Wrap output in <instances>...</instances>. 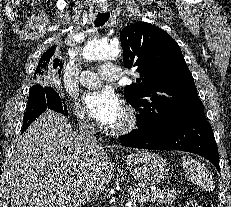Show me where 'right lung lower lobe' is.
Wrapping results in <instances>:
<instances>
[{
  "instance_id": "right-lung-lower-lobe-1",
  "label": "right lung lower lobe",
  "mask_w": 231,
  "mask_h": 207,
  "mask_svg": "<svg viewBox=\"0 0 231 207\" xmlns=\"http://www.w3.org/2000/svg\"><path fill=\"white\" fill-rule=\"evenodd\" d=\"M47 108L68 116L67 108L65 105L62 106L59 95L51 87H42V89L36 91L33 100L28 102L27 110L23 119L24 126L22 133Z\"/></svg>"
}]
</instances>
